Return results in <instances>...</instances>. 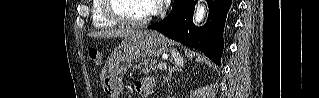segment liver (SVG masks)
Instances as JSON below:
<instances>
[{"instance_id": "obj_1", "label": "liver", "mask_w": 319, "mask_h": 98, "mask_svg": "<svg viewBox=\"0 0 319 98\" xmlns=\"http://www.w3.org/2000/svg\"><path fill=\"white\" fill-rule=\"evenodd\" d=\"M140 31H134V30H108V31H100L92 33L91 36L94 37H101V38H109V37H127L129 35H132L134 33H137Z\"/></svg>"}]
</instances>
